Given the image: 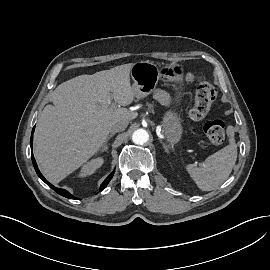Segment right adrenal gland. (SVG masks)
Listing matches in <instances>:
<instances>
[{"mask_svg":"<svg viewBox=\"0 0 270 270\" xmlns=\"http://www.w3.org/2000/svg\"><path fill=\"white\" fill-rule=\"evenodd\" d=\"M114 136V133H111L108 137H107V139H106V141H105V143L102 145V147H101V149H100V152H106L107 151V149H108V141L110 140V138H112Z\"/></svg>","mask_w":270,"mask_h":270,"instance_id":"1","label":"right adrenal gland"}]
</instances>
